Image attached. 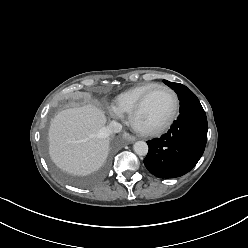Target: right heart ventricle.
Segmentation results:
<instances>
[{
  "label": "right heart ventricle",
  "instance_id": "1",
  "mask_svg": "<svg viewBox=\"0 0 248 248\" xmlns=\"http://www.w3.org/2000/svg\"><path fill=\"white\" fill-rule=\"evenodd\" d=\"M156 83H144L134 86L119 94L112 105L113 110L118 115H130L140 97Z\"/></svg>",
  "mask_w": 248,
  "mask_h": 248
}]
</instances>
